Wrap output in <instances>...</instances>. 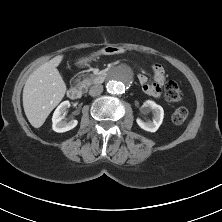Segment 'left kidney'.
Here are the masks:
<instances>
[{
  "label": "left kidney",
  "mask_w": 222,
  "mask_h": 222,
  "mask_svg": "<svg viewBox=\"0 0 222 222\" xmlns=\"http://www.w3.org/2000/svg\"><path fill=\"white\" fill-rule=\"evenodd\" d=\"M144 111H149L150 109L154 111L153 121L144 122L141 119H137L136 122L140 128L149 132H156L161 125L164 117L163 108L156 104L154 101L148 100L143 104Z\"/></svg>",
  "instance_id": "left-kidney-1"
}]
</instances>
